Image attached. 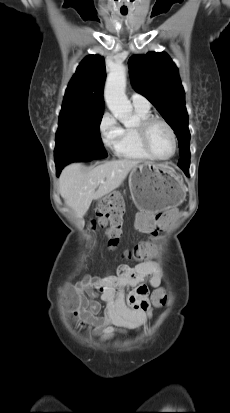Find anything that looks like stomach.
Segmentation results:
<instances>
[{"mask_svg":"<svg viewBox=\"0 0 230 413\" xmlns=\"http://www.w3.org/2000/svg\"><path fill=\"white\" fill-rule=\"evenodd\" d=\"M129 188L136 207L152 214L162 213L169 205H179L185 198L182 179L162 164L135 166L129 176Z\"/></svg>","mask_w":230,"mask_h":413,"instance_id":"stomach-1","label":"stomach"}]
</instances>
